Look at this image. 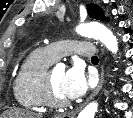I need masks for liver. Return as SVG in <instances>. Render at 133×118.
I'll return each instance as SVG.
<instances>
[{"mask_svg": "<svg viewBox=\"0 0 133 118\" xmlns=\"http://www.w3.org/2000/svg\"><path fill=\"white\" fill-rule=\"evenodd\" d=\"M1 118H43V115L23 109H12L4 112Z\"/></svg>", "mask_w": 133, "mask_h": 118, "instance_id": "obj_1", "label": "liver"}]
</instances>
